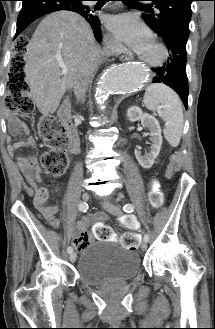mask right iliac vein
<instances>
[{"label":"right iliac vein","instance_id":"right-iliac-vein-1","mask_svg":"<svg viewBox=\"0 0 215 329\" xmlns=\"http://www.w3.org/2000/svg\"><path fill=\"white\" fill-rule=\"evenodd\" d=\"M89 198H90V195H89L88 192H84V193L82 194V199H83L84 201H88ZM69 259H70V261H71L72 263H74V262L76 261V253H74V252L70 253V257H69Z\"/></svg>","mask_w":215,"mask_h":329}]
</instances>
